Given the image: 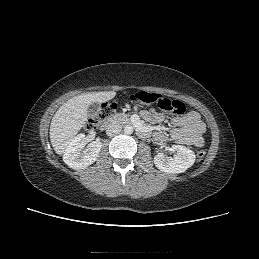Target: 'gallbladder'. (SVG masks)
I'll return each mask as SVG.
<instances>
[{
	"label": "gallbladder",
	"mask_w": 259,
	"mask_h": 259,
	"mask_svg": "<svg viewBox=\"0 0 259 259\" xmlns=\"http://www.w3.org/2000/svg\"><path fill=\"white\" fill-rule=\"evenodd\" d=\"M100 109H101L100 103L94 102L88 108V115L90 117H95L100 111Z\"/></svg>",
	"instance_id": "bac80fb5"
}]
</instances>
